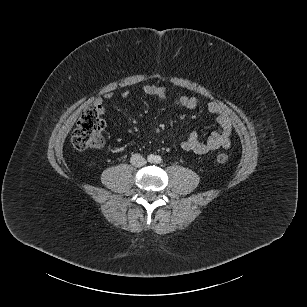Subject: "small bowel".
Returning <instances> with one entry per match:
<instances>
[{
    "instance_id": "obj_1",
    "label": "small bowel",
    "mask_w": 307,
    "mask_h": 307,
    "mask_svg": "<svg viewBox=\"0 0 307 307\" xmlns=\"http://www.w3.org/2000/svg\"><path fill=\"white\" fill-rule=\"evenodd\" d=\"M143 92L149 96L158 98H167L169 92L166 88L154 84H147L143 87ZM129 91L121 93L122 98L129 97ZM112 93H107L103 98H97L94 101V106L99 109L100 114L104 112V102L113 99ZM179 103L186 109H195L198 107V100L195 97L182 95L179 97ZM209 113L215 116L218 124V130L210 134L206 140H201L196 132H191L181 142V148L185 151L192 152L197 155H204L209 152L220 149H228L231 145L230 135L233 129L232 121L223 111L222 107L216 102H209L206 105Z\"/></svg>"
}]
</instances>
